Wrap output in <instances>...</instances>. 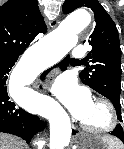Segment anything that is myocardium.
I'll return each instance as SVG.
<instances>
[{"label":"myocardium","instance_id":"myocardium-1","mask_svg":"<svg viewBox=\"0 0 124 149\" xmlns=\"http://www.w3.org/2000/svg\"><path fill=\"white\" fill-rule=\"evenodd\" d=\"M95 103L101 104L106 108L107 114H108V122L103 127H93L85 122L81 121L80 125L88 133L94 134V135H104L112 132L118 122H119V116L116 107L114 104L105 97H97L94 100Z\"/></svg>","mask_w":124,"mask_h":149}]
</instances>
